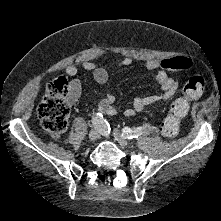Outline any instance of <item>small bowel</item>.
Listing matches in <instances>:
<instances>
[{
  "label": "small bowel",
  "mask_w": 221,
  "mask_h": 221,
  "mask_svg": "<svg viewBox=\"0 0 221 221\" xmlns=\"http://www.w3.org/2000/svg\"><path fill=\"white\" fill-rule=\"evenodd\" d=\"M132 62L133 59L127 56L119 61L118 66H129ZM160 63V60L157 59H148L145 62L146 70L157 71L156 82L161 89L160 93L136 97L133 100L132 105L124 109V115L133 116L151 105L168 101L176 95L179 82L167 71L163 70L160 67ZM81 66L84 70L92 72L93 77L97 83L104 84L108 81L109 74L105 67L89 61L83 62ZM65 72L68 76L74 77L77 75L78 70L75 66L68 65L65 68ZM70 85L72 89L71 101L73 102L80 94L81 83L78 79H73ZM97 111L107 116H114L118 111L117 107L115 106V97L112 94H105L97 106Z\"/></svg>",
  "instance_id": "c3829d8e"
}]
</instances>
